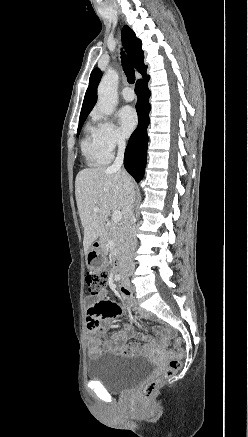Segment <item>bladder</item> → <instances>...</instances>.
Returning a JSON list of instances; mask_svg holds the SVG:
<instances>
[{"instance_id": "obj_1", "label": "bladder", "mask_w": 248, "mask_h": 437, "mask_svg": "<svg viewBox=\"0 0 248 437\" xmlns=\"http://www.w3.org/2000/svg\"><path fill=\"white\" fill-rule=\"evenodd\" d=\"M156 370L157 366L143 356L102 353L88 364L87 374L109 392L121 393L151 378Z\"/></svg>"}]
</instances>
